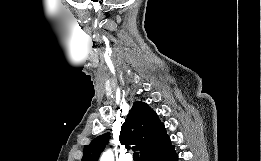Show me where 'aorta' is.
Instances as JSON below:
<instances>
[{"mask_svg": "<svg viewBox=\"0 0 261 161\" xmlns=\"http://www.w3.org/2000/svg\"><path fill=\"white\" fill-rule=\"evenodd\" d=\"M100 161H114V155L113 152L111 150H107L105 151L101 158Z\"/></svg>", "mask_w": 261, "mask_h": 161, "instance_id": "762f6f07", "label": "aorta"}]
</instances>
